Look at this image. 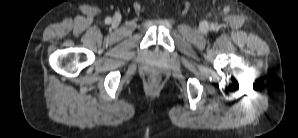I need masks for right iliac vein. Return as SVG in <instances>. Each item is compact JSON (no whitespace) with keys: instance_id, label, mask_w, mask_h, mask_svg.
I'll list each match as a JSON object with an SVG mask.
<instances>
[{"instance_id":"obj_1","label":"right iliac vein","mask_w":298,"mask_h":138,"mask_svg":"<svg viewBox=\"0 0 298 138\" xmlns=\"http://www.w3.org/2000/svg\"><path fill=\"white\" fill-rule=\"evenodd\" d=\"M119 22H120V18L118 16H115L114 19H113V24L118 25Z\"/></svg>"}]
</instances>
